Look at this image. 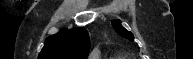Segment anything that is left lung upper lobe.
<instances>
[{"label": "left lung upper lobe", "instance_id": "1", "mask_svg": "<svg viewBox=\"0 0 193 59\" xmlns=\"http://www.w3.org/2000/svg\"><path fill=\"white\" fill-rule=\"evenodd\" d=\"M111 23H112V26L115 29V31L120 36H122L130 41L134 40L133 34L130 31L126 30L124 27H122L121 22L119 20H113Z\"/></svg>", "mask_w": 193, "mask_h": 59}]
</instances>
